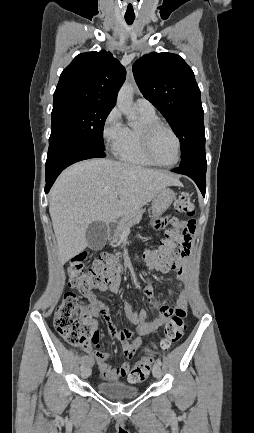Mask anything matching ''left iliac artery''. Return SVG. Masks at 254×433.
I'll return each mask as SVG.
<instances>
[{
  "label": "left iliac artery",
  "mask_w": 254,
  "mask_h": 433,
  "mask_svg": "<svg viewBox=\"0 0 254 433\" xmlns=\"http://www.w3.org/2000/svg\"><path fill=\"white\" fill-rule=\"evenodd\" d=\"M156 362H157V364H159V365L161 366V364H162L161 359L158 358V359L156 360Z\"/></svg>",
  "instance_id": "44dca946"
}]
</instances>
